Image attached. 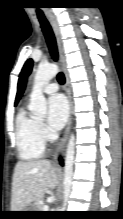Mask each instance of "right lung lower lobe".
<instances>
[{"label": "right lung lower lobe", "instance_id": "right-lung-lower-lobe-1", "mask_svg": "<svg viewBox=\"0 0 123 219\" xmlns=\"http://www.w3.org/2000/svg\"><path fill=\"white\" fill-rule=\"evenodd\" d=\"M59 161H60V164L63 165V160L61 158L59 159Z\"/></svg>", "mask_w": 123, "mask_h": 219}]
</instances>
